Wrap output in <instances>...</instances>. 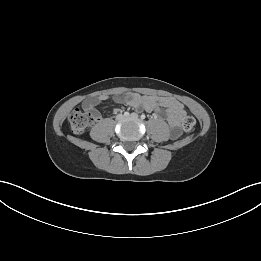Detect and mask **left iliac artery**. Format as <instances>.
I'll return each instance as SVG.
<instances>
[{
    "instance_id": "left-iliac-artery-1",
    "label": "left iliac artery",
    "mask_w": 261,
    "mask_h": 261,
    "mask_svg": "<svg viewBox=\"0 0 261 261\" xmlns=\"http://www.w3.org/2000/svg\"><path fill=\"white\" fill-rule=\"evenodd\" d=\"M141 119L142 120L145 119V115L144 114L141 115Z\"/></svg>"
}]
</instances>
